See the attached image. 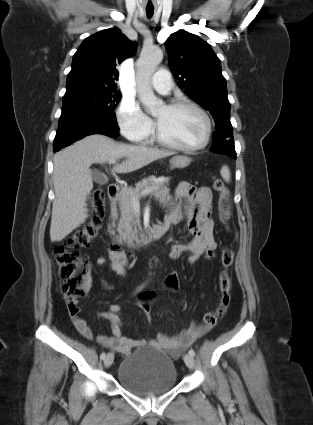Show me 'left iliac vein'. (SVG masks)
Returning <instances> with one entry per match:
<instances>
[{
  "instance_id": "1",
  "label": "left iliac vein",
  "mask_w": 313,
  "mask_h": 425,
  "mask_svg": "<svg viewBox=\"0 0 313 425\" xmlns=\"http://www.w3.org/2000/svg\"><path fill=\"white\" fill-rule=\"evenodd\" d=\"M184 362L185 364L189 367V368H194L195 366V360L194 357L191 356L190 354H186L184 355Z\"/></svg>"
}]
</instances>
